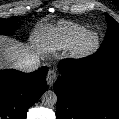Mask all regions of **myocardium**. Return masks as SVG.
<instances>
[{"mask_svg":"<svg viewBox=\"0 0 119 119\" xmlns=\"http://www.w3.org/2000/svg\"><path fill=\"white\" fill-rule=\"evenodd\" d=\"M100 45V37L97 32L86 31L71 49L73 58L81 59L96 52Z\"/></svg>","mask_w":119,"mask_h":119,"instance_id":"myocardium-1","label":"myocardium"}]
</instances>
